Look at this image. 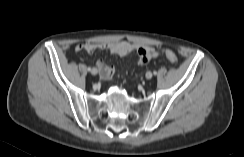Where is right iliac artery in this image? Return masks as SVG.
Listing matches in <instances>:
<instances>
[{
    "mask_svg": "<svg viewBox=\"0 0 244 157\" xmlns=\"http://www.w3.org/2000/svg\"><path fill=\"white\" fill-rule=\"evenodd\" d=\"M88 71H92V68L91 67H88Z\"/></svg>",
    "mask_w": 244,
    "mask_h": 157,
    "instance_id": "right-iliac-artery-1",
    "label": "right iliac artery"
}]
</instances>
